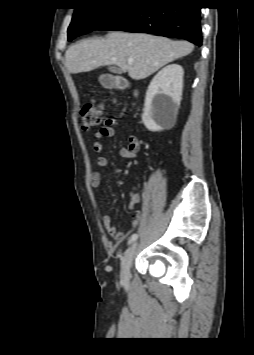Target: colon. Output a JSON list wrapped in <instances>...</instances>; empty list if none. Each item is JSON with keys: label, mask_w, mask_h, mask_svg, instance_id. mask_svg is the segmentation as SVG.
Returning <instances> with one entry per match:
<instances>
[{"label": "colon", "mask_w": 254, "mask_h": 355, "mask_svg": "<svg viewBox=\"0 0 254 355\" xmlns=\"http://www.w3.org/2000/svg\"><path fill=\"white\" fill-rule=\"evenodd\" d=\"M104 106L102 103L91 100L87 102L80 112V123L84 130H91L102 122Z\"/></svg>", "instance_id": "5ec220e1"}]
</instances>
